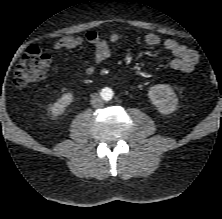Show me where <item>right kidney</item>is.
<instances>
[{"mask_svg": "<svg viewBox=\"0 0 222 219\" xmlns=\"http://www.w3.org/2000/svg\"><path fill=\"white\" fill-rule=\"evenodd\" d=\"M73 100L71 92L64 93L50 108L53 117H57L64 113L66 107L70 105Z\"/></svg>", "mask_w": 222, "mask_h": 219, "instance_id": "right-kidney-1", "label": "right kidney"}]
</instances>
